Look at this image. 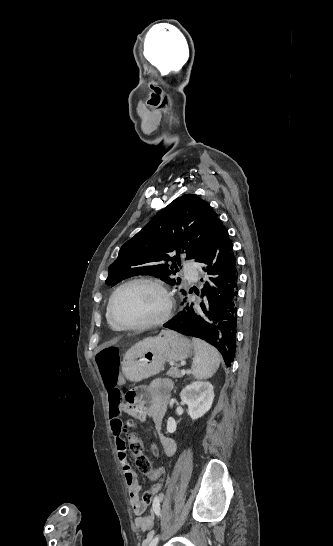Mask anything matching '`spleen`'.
<instances>
[{
  "instance_id": "obj_1",
  "label": "spleen",
  "mask_w": 333,
  "mask_h": 546,
  "mask_svg": "<svg viewBox=\"0 0 333 546\" xmlns=\"http://www.w3.org/2000/svg\"><path fill=\"white\" fill-rule=\"evenodd\" d=\"M195 357L192 363V374L197 379L211 378L218 370L221 356L219 352L207 342L193 338L192 339Z\"/></svg>"
}]
</instances>
